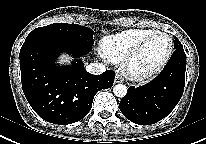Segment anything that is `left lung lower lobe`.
Masks as SVG:
<instances>
[{"mask_svg": "<svg viewBox=\"0 0 206 144\" xmlns=\"http://www.w3.org/2000/svg\"><path fill=\"white\" fill-rule=\"evenodd\" d=\"M185 70L186 54L182 45H179L156 78L141 87L128 88L119 104L122 114L139 125H150L162 120L182 97Z\"/></svg>", "mask_w": 206, "mask_h": 144, "instance_id": "obj_1", "label": "left lung lower lobe"}]
</instances>
